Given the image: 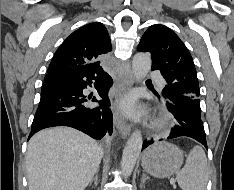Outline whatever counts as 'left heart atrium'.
<instances>
[{"label":"left heart atrium","mask_w":234,"mask_h":190,"mask_svg":"<svg viewBox=\"0 0 234 190\" xmlns=\"http://www.w3.org/2000/svg\"><path fill=\"white\" fill-rule=\"evenodd\" d=\"M121 108L129 114L136 113L135 100L132 97H127L123 99L121 102Z\"/></svg>","instance_id":"left-heart-atrium-1"}]
</instances>
